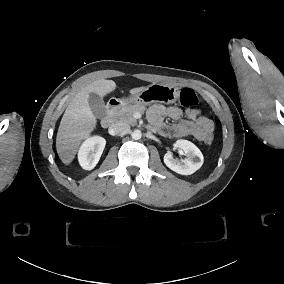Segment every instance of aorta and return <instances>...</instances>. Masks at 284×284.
<instances>
[{
  "instance_id": "1",
  "label": "aorta",
  "mask_w": 284,
  "mask_h": 284,
  "mask_svg": "<svg viewBox=\"0 0 284 284\" xmlns=\"http://www.w3.org/2000/svg\"><path fill=\"white\" fill-rule=\"evenodd\" d=\"M131 137H132L134 140H139V139L142 137V133H141L140 130L136 129V130L132 131Z\"/></svg>"
}]
</instances>
